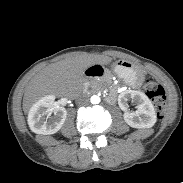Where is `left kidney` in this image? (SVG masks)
Instances as JSON below:
<instances>
[{
	"mask_svg": "<svg viewBox=\"0 0 183 183\" xmlns=\"http://www.w3.org/2000/svg\"><path fill=\"white\" fill-rule=\"evenodd\" d=\"M131 99L137 104L136 111H130L127 101ZM118 105L124 111L125 122L133 128H151L157 120L151 100L142 92L126 90L119 94Z\"/></svg>",
	"mask_w": 183,
	"mask_h": 183,
	"instance_id": "1",
	"label": "left kidney"
}]
</instances>
